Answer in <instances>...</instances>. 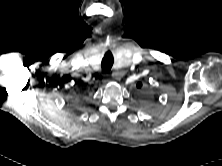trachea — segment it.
<instances>
[{"mask_svg":"<svg viewBox=\"0 0 222 166\" xmlns=\"http://www.w3.org/2000/svg\"><path fill=\"white\" fill-rule=\"evenodd\" d=\"M114 63L113 55L110 51H107L102 59L101 67L102 71L109 73Z\"/></svg>","mask_w":222,"mask_h":166,"instance_id":"trachea-1","label":"trachea"}]
</instances>
